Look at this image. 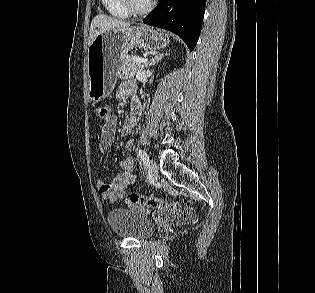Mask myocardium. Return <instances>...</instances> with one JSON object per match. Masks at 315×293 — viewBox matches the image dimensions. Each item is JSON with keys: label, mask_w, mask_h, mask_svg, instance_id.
I'll return each mask as SVG.
<instances>
[{"label": "myocardium", "mask_w": 315, "mask_h": 293, "mask_svg": "<svg viewBox=\"0 0 315 293\" xmlns=\"http://www.w3.org/2000/svg\"><path fill=\"white\" fill-rule=\"evenodd\" d=\"M120 1L124 9L133 15H143L149 12L155 4V0H150V2L146 6L140 8L135 5L133 0H120Z\"/></svg>", "instance_id": "obj_1"}]
</instances>
